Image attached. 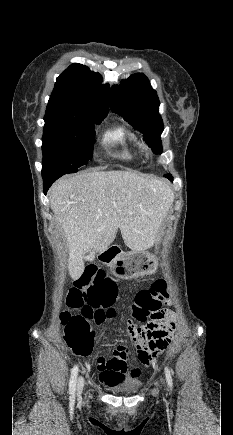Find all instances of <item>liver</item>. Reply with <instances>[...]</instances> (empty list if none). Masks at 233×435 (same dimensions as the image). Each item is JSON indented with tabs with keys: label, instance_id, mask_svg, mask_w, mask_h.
<instances>
[{
	"label": "liver",
	"instance_id": "liver-1",
	"mask_svg": "<svg viewBox=\"0 0 233 435\" xmlns=\"http://www.w3.org/2000/svg\"><path fill=\"white\" fill-rule=\"evenodd\" d=\"M48 196L68 242L72 279L83 273L85 254L106 250L118 229L130 249L152 247L174 201L173 190L163 180L119 170L62 177Z\"/></svg>",
	"mask_w": 233,
	"mask_h": 435
}]
</instances>
